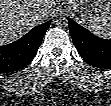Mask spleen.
Segmentation results:
<instances>
[{
	"mask_svg": "<svg viewBox=\"0 0 111 106\" xmlns=\"http://www.w3.org/2000/svg\"><path fill=\"white\" fill-rule=\"evenodd\" d=\"M87 27L97 36L111 39V15L104 18L96 17L87 24Z\"/></svg>",
	"mask_w": 111,
	"mask_h": 106,
	"instance_id": "1",
	"label": "spleen"
}]
</instances>
